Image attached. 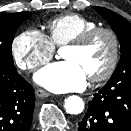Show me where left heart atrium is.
Wrapping results in <instances>:
<instances>
[{"label": "left heart atrium", "instance_id": "39dd6f15", "mask_svg": "<svg viewBox=\"0 0 131 131\" xmlns=\"http://www.w3.org/2000/svg\"><path fill=\"white\" fill-rule=\"evenodd\" d=\"M34 79L38 84L57 93L82 90L87 82V76L81 67L69 60L43 67L35 74Z\"/></svg>", "mask_w": 131, "mask_h": 131}]
</instances>
